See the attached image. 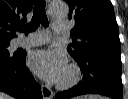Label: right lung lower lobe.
<instances>
[{"label":"right lung lower lobe","mask_w":128,"mask_h":99,"mask_svg":"<svg viewBox=\"0 0 128 99\" xmlns=\"http://www.w3.org/2000/svg\"><path fill=\"white\" fill-rule=\"evenodd\" d=\"M25 51L13 57L0 56V91L17 99H43L41 87L25 65Z\"/></svg>","instance_id":"obj_1"}]
</instances>
